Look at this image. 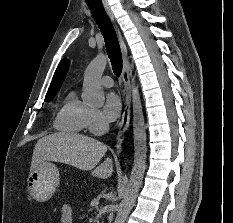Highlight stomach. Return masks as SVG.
I'll return each mask as SVG.
<instances>
[{
    "mask_svg": "<svg viewBox=\"0 0 233 223\" xmlns=\"http://www.w3.org/2000/svg\"><path fill=\"white\" fill-rule=\"evenodd\" d=\"M60 183L59 167L52 161H39L27 177V189L32 199L48 201Z\"/></svg>",
    "mask_w": 233,
    "mask_h": 223,
    "instance_id": "obj_1",
    "label": "stomach"
}]
</instances>
